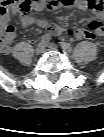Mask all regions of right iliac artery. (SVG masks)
<instances>
[{
    "label": "right iliac artery",
    "mask_w": 104,
    "mask_h": 137,
    "mask_svg": "<svg viewBox=\"0 0 104 137\" xmlns=\"http://www.w3.org/2000/svg\"><path fill=\"white\" fill-rule=\"evenodd\" d=\"M49 40V38L47 37V36H43L42 38H41V41L42 42H46V41H48Z\"/></svg>",
    "instance_id": "right-iliac-artery-1"
}]
</instances>
